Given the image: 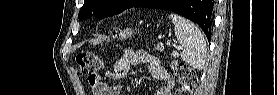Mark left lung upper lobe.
<instances>
[{
    "label": "left lung upper lobe",
    "mask_w": 277,
    "mask_h": 95,
    "mask_svg": "<svg viewBox=\"0 0 277 95\" xmlns=\"http://www.w3.org/2000/svg\"><path fill=\"white\" fill-rule=\"evenodd\" d=\"M140 0H84L78 18L88 19L92 16L103 19L114 16L134 7ZM176 0H159L161 8L171 6Z\"/></svg>",
    "instance_id": "left-lung-upper-lobe-1"
}]
</instances>
